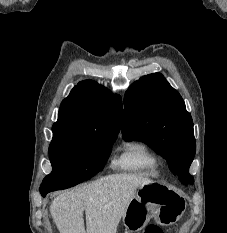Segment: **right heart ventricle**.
Masks as SVG:
<instances>
[{
    "label": "right heart ventricle",
    "instance_id": "e07e8e85",
    "mask_svg": "<svg viewBox=\"0 0 227 233\" xmlns=\"http://www.w3.org/2000/svg\"><path fill=\"white\" fill-rule=\"evenodd\" d=\"M113 165L124 171L147 177H157L160 174L161 162L145 143L130 142L121 148Z\"/></svg>",
    "mask_w": 227,
    "mask_h": 233
}]
</instances>
